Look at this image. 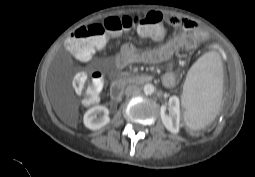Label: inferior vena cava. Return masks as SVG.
I'll use <instances>...</instances> for the list:
<instances>
[{"label": "inferior vena cava", "mask_w": 255, "mask_h": 177, "mask_svg": "<svg viewBox=\"0 0 255 177\" xmlns=\"http://www.w3.org/2000/svg\"><path fill=\"white\" fill-rule=\"evenodd\" d=\"M140 93V88L135 85H130L125 89L126 96H134Z\"/></svg>", "instance_id": "inferior-vena-cava-1"}]
</instances>
